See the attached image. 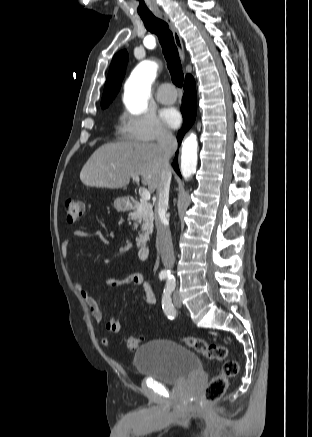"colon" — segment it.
<instances>
[{
    "instance_id": "1",
    "label": "colon",
    "mask_w": 312,
    "mask_h": 437,
    "mask_svg": "<svg viewBox=\"0 0 312 437\" xmlns=\"http://www.w3.org/2000/svg\"><path fill=\"white\" fill-rule=\"evenodd\" d=\"M64 208L66 222L74 224L83 216L85 204L81 200L68 198L65 201ZM142 342V337L129 336L126 339V345L131 350L138 348ZM182 342L210 361H224L220 374L207 384L201 397L204 402L219 399L226 391L229 382L238 376V362L229 358L228 349L223 345L210 343L197 337H183Z\"/></svg>"
}]
</instances>
